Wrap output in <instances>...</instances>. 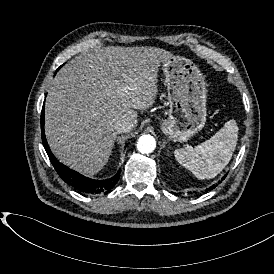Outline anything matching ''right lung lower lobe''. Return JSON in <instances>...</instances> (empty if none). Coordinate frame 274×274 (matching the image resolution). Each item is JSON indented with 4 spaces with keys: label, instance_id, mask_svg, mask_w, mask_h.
<instances>
[{
    "label": "right lung lower lobe",
    "instance_id": "98d812e1",
    "mask_svg": "<svg viewBox=\"0 0 274 274\" xmlns=\"http://www.w3.org/2000/svg\"><path fill=\"white\" fill-rule=\"evenodd\" d=\"M41 132L43 145L48 154V157L51 163L53 164L55 170L65 183L71 185L78 191L86 194H100L109 192L113 188V186L118 182L120 178L121 169H119L118 173L112 178L106 180H94L87 178L79 174L78 172L66 167L55 158V156L52 154L48 146L44 134V104L41 113Z\"/></svg>",
    "mask_w": 274,
    "mask_h": 274
}]
</instances>
